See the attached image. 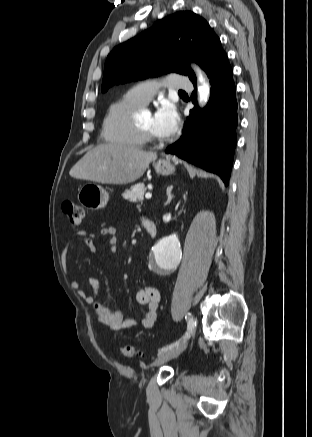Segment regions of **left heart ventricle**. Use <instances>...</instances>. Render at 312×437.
<instances>
[{
  "instance_id": "obj_1",
  "label": "left heart ventricle",
  "mask_w": 312,
  "mask_h": 437,
  "mask_svg": "<svg viewBox=\"0 0 312 437\" xmlns=\"http://www.w3.org/2000/svg\"><path fill=\"white\" fill-rule=\"evenodd\" d=\"M138 124L145 128L146 130L150 131L156 138L163 139L161 135H159L155 129H154V120L153 115L150 113H145L140 115V117L137 120Z\"/></svg>"
}]
</instances>
